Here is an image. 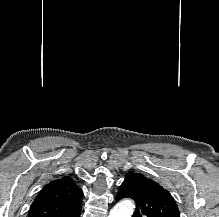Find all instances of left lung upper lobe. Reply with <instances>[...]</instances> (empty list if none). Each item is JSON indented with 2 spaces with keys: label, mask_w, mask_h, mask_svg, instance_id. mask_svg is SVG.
<instances>
[{
  "label": "left lung upper lobe",
  "mask_w": 219,
  "mask_h": 217,
  "mask_svg": "<svg viewBox=\"0 0 219 217\" xmlns=\"http://www.w3.org/2000/svg\"><path fill=\"white\" fill-rule=\"evenodd\" d=\"M131 197L136 210L132 217H180L171 194L157 182L139 173H131L121 184L116 201Z\"/></svg>",
  "instance_id": "left-lung-upper-lobe-1"
}]
</instances>
